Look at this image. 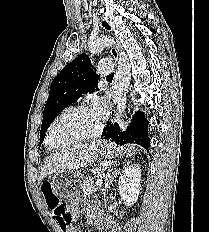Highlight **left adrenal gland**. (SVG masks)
<instances>
[{"label": "left adrenal gland", "instance_id": "1", "mask_svg": "<svg viewBox=\"0 0 209 232\" xmlns=\"http://www.w3.org/2000/svg\"><path fill=\"white\" fill-rule=\"evenodd\" d=\"M117 176V172H112L111 174H109L107 177H106V180H105V188L103 190V194H104V197L106 196V192H107V189L109 188V186L112 184L113 180L116 178Z\"/></svg>", "mask_w": 209, "mask_h": 232}]
</instances>
